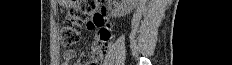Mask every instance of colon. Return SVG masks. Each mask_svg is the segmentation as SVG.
I'll return each mask as SVG.
<instances>
[{
  "label": "colon",
  "instance_id": "1",
  "mask_svg": "<svg viewBox=\"0 0 232 65\" xmlns=\"http://www.w3.org/2000/svg\"><path fill=\"white\" fill-rule=\"evenodd\" d=\"M98 5L96 0H76L73 1V6L69 10V14L63 22L61 29V43L67 48L80 39V29L82 24L87 20ZM106 37H97L93 45V64L94 62H102L107 43L104 40Z\"/></svg>",
  "mask_w": 232,
  "mask_h": 65
}]
</instances>
